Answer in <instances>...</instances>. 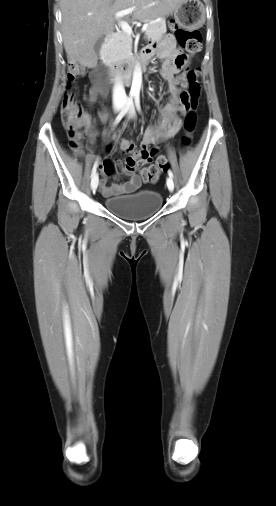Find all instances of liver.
Here are the masks:
<instances>
[{"label": "liver", "mask_w": 276, "mask_h": 506, "mask_svg": "<svg viewBox=\"0 0 276 506\" xmlns=\"http://www.w3.org/2000/svg\"><path fill=\"white\" fill-rule=\"evenodd\" d=\"M185 0H61L62 36L69 59L95 67L97 40L114 29L121 10L135 7L133 20H152L171 14Z\"/></svg>", "instance_id": "1"}]
</instances>
